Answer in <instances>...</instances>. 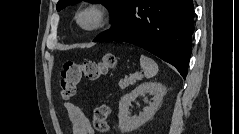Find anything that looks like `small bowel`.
I'll return each instance as SVG.
<instances>
[{
    "instance_id": "small-bowel-1",
    "label": "small bowel",
    "mask_w": 239,
    "mask_h": 134,
    "mask_svg": "<svg viewBox=\"0 0 239 134\" xmlns=\"http://www.w3.org/2000/svg\"><path fill=\"white\" fill-rule=\"evenodd\" d=\"M65 109L71 122L73 134H94V129L83 111L73 102H67Z\"/></svg>"
}]
</instances>
